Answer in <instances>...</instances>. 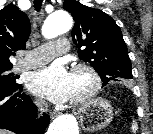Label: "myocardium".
<instances>
[{
	"instance_id": "f54148a6",
	"label": "myocardium",
	"mask_w": 153,
	"mask_h": 134,
	"mask_svg": "<svg viewBox=\"0 0 153 134\" xmlns=\"http://www.w3.org/2000/svg\"><path fill=\"white\" fill-rule=\"evenodd\" d=\"M71 71L72 73L85 72L90 78L89 89L79 97L70 100L71 104L79 105L92 98L100 90L102 85V79L96 68L89 63H76L75 65H73Z\"/></svg>"
}]
</instances>
